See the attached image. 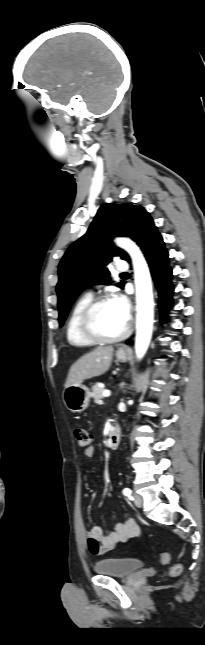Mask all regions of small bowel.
<instances>
[{"label":"small bowel","instance_id":"1","mask_svg":"<svg viewBox=\"0 0 205 645\" xmlns=\"http://www.w3.org/2000/svg\"><path fill=\"white\" fill-rule=\"evenodd\" d=\"M95 454L93 447H87L82 451V456L92 458ZM140 529L136 521L127 518L123 522L116 523L114 529L105 532L102 527L93 526L86 535L87 547L93 555H103L113 550L119 543L128 541L139 535Z\"/></svg>","mask_w":205,"mask_h":645}]
</instances>
